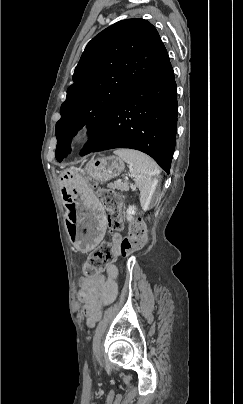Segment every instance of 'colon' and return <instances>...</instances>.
I'll use <instances>...</instances> for the list:
<instances>
[{"label": "colon", "mask_w": 243, "mask_h": 404, "mask_svg": "<svg viewBox=\"0 0 243 404\" xmlns=\"http://www.w3.org/2000/svg\"><path fill=\"white\" fill-rule=\"evenodd\" d=\"M98 197L107 212V223L111 230L121 231L123 228L120 213V200L111 189H98ZM147 231L141 220H136L130 227L128 234L121 240L119 252L126 257L140 250L146 243ZM116 246L111 242L100 244L90 253L83 268V274L87 278L95 277L108 264L115 261Z\"/></svg>", "instance_id": "1"}]
</instances>
